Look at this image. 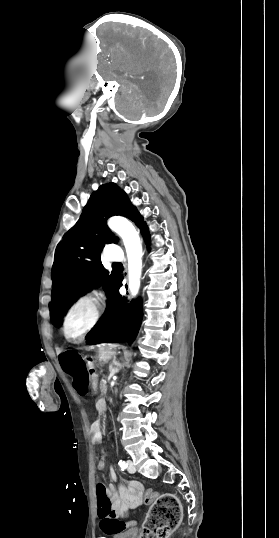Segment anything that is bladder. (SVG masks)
Returning a JSON list of instances; mask_svg holds the SVG:
<instances>
[{
    "mask_svg": "<svg viewBox=\"0 0 279 538\" xmlns=\"http://www.w3.org/2000/svg\"><path fill=\"white\" fill-rule=\"evenodd\" d=\"M113 538H139L138 532H114Z\"/></svg>",
    "mask_w": 279,
    "mask_h": 538,
    "instance_id": "obj_1",
    "label": "bladder"
}]
</instances>
